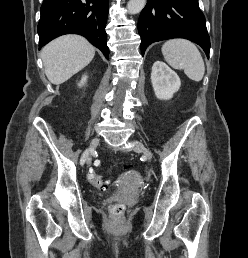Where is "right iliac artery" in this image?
Listing matches in <instances>:
<instances>
[{
    "mask_svg": "<svg viewBox=\"0 0 248 258\" xmlns=\"http://www.w3.org/2000/svg\"><path fill=\"white\" fill-rule=\"evenodd\" d=\"M89 151H90L89 149H86L84 151V153L82 154L81 159H80V164L81 165H83L85 163V161H86V159H87V157L89 155Z\"/></svg>",
    "mask_w": 248,
    "mask_h": 258,
    "instance_id": "right-iliac-artery-1",
    "label": "right iliac artery"
}]
</instances>
